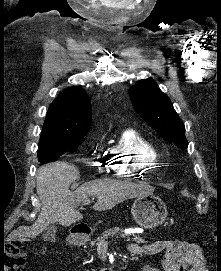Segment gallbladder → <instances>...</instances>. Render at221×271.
I'll use <instances>...</instances> for the list:
<instances>
[{"instance_id":"1","label":"gallbladder","mask_w":221,"mask_h":271,"mask_svg":"<svg viewBox=\"0 0 221 271\" xmlns=\"http://www.w3.org/2000/svg\"><path fill=\"white\" fill-rule=\"evenodd\" d=\"M57 231V225H48L46 229H43V239L44 241H55V235Z\"/></svg>"}]
</instances>
